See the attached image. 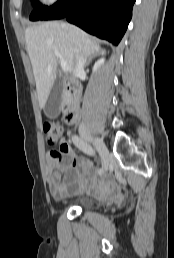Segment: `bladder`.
<instances>
[{
	"label": "bladder",
	"mask_w": 174,
	"mask_h": 258,
	"mask_svg": "<svg viewBox=\"0 0 174 258\" xmlns=\"http://www.w3.org/2000/svg\"><path fill=\"white\" fill-rule=\"evenodd\" d=\"M97 200L87 194L78 195L76 198V207L83 211H92L95 209Z\"/></svg>",
	"instance_id": "31cf9c89"
}]
</instances>
